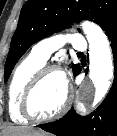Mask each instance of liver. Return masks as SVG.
<instances>
[{
  "mask_svg": "<svg viewBox=\"0 0 117 136\" xmlns=\"http://www.w3.org/2000/svg\"><path fill=\"white\" fill-rule=\"evenodd\" d=\"M5 136H45L42 131H37L31 127H7L5 130Z\"/></svg>",
  "mask_w": 117,
  "mask_h": 136,
  "instance_id": "obj_1",
  "label": "liver"
}]
</instances>
